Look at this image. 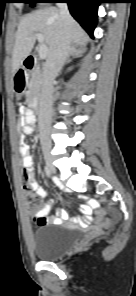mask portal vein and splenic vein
Wrapping results in <instances>:
<instances>
[{"label":"portal vein and splenic vein","instance_id":"18ae733b","mask_svg":"<svg viewBox=\"0 0 136 296\" xmlns=\"http://www.w3.org/2000/svg\"><path fill=\"white\" fill-rule=\"evenodd\" d=\"M35 37L37 38L38 42L40 43L38 54L41 60L45 59L48 53V47L44 44V38L41 33H36Z\"/></svg>","mask_w":136,"mask_h":296}]
</instances>
